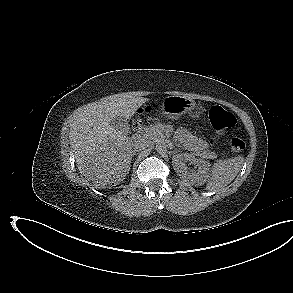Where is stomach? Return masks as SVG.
<instances>
[{"label": "stomach", "instance_id": "0dacf381", "mask_svg": "<svg viewBox=\"0 0 293 293\" xmlns=\"http://www.w3.org/2000/svg\"><path fill=\"white\" fill-rule=\"evenodd\" d=\"M195 108V102L185 96H168L162 103L161 114L168 119H178Z\"/></svg>", "mask_w": 293, "mask_h": 293}]
</instances>
